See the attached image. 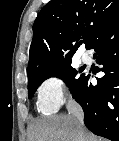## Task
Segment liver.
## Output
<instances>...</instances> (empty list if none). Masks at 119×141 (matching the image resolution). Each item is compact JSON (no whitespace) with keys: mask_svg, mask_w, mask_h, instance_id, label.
Masks as SVG:
<instances>
[{"mask_svg":"<svg viewBox=\"0 0 119 141\" xmlns=\"http://www.w3.org/2000/svg\"><path fill=\"white\" fill-rule=\"evenodd\" d=\"M28 141H102L84 127H80L72 115H54L35 121Z\"/></svg>","mask_w":119,"mask_h":141,"instance_id":"obj_1","label":"liver"}]
</instances>
